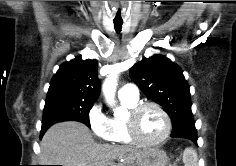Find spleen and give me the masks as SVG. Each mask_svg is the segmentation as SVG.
Instances as JSON below:
<instances>
[{
	"label": "spleen",
	"instance_id": "obj_1",
	"mask_svg": "<svg viewBox=\"0 0 236 166\" xmlns=\"http://www.w3.org/2000/svg\"><path fill=\"white\" fill-rule=\"evenodd\" d=\"M184 166H198L197 152L193 148H186L183 153Z\"/></svg>",
	"mask_w": 236,
	"mask_h": 166
}]
</instances>
